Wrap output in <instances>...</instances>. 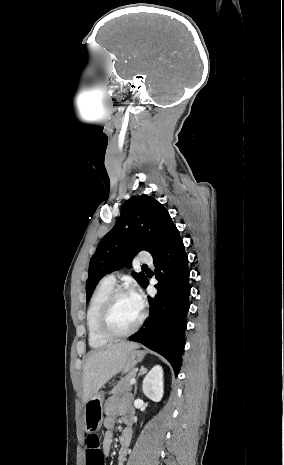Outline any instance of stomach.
Listing matches in <instances>:
<instances>
[{"instance_id": "obj_1", "label": "stomach", "mask_w": 284, "mask_h": 465, "mask_svg": "<svg viewBox=\"0 0 284 465\" xmlns=\"http://www.w3.org/2000/svg\"><path fill=\"white\" fill-rule=\"evenodd\" d=\"M145 351H130L127 355L126 363H124L123 371H133L137 363H141L144 359ZM103 403H104V391L93 395L87 403H84L83 409V421L84 429L86 433H97L102 427L103 423Z\"/></svg>"}]
</instances>
